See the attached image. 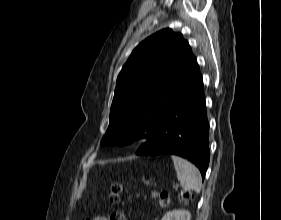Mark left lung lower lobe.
<instances>
[{"mask_svg": "<svg viewBox=\"0 0 281 220\" xmlns=\"http://www.w3.org/2000/svg\"><path fill=\"white\" fill-rule=\"evenodd\" d=\"M208 135L203 80L198 69L164 115L153 138L136 154L181 156L194 163L204 179L210 159Z\"/></svg>", "mask_w": 281, "mask_h": 220, "instance_id": "0a47b994", "label": "left lung lower lobe"}]
</instances>
